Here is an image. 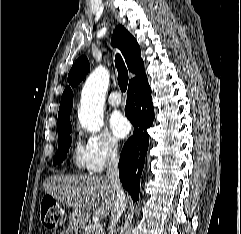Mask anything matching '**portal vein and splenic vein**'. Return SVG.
Here are the masks:
<instances>
[{
    "instance_id": "1",
    "label": "portal vein and splenic vein",
    "mask_w": 241,
    "mask_h": 234,
    "mask_svg": "<svg viewBox=\"0 0 241 234\" xmlns=\"http://www.w3.org/2000/svg\"><path fill=\"white\" fill-rule=\"evenodd\" d=\"M94 229H98L100 231L103 230V225L100 222H94Z\"/></svg>"
}]
</instances>
